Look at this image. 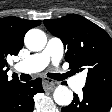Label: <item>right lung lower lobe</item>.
<instances>
[{
	"instance_id": "98d812e1",
	"label": "right lung lower lobe",
	"mask_w": 112,
	"mask_h": 112,
	"mask_svg": "<svg viewBox=\"0 0 112 112\" xmlns=\"http://www.w3.org/2000/svg\"><path fill=\"white\" fill-rule=\"evenodd\" d=\"M42 80L14 84L0 105V112H33V96L43 92Z\"/></svg>"
}]
</instances>
